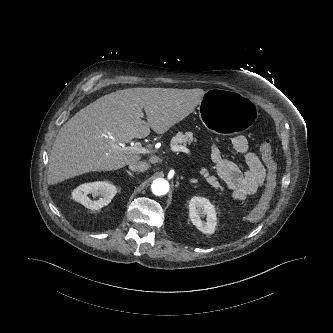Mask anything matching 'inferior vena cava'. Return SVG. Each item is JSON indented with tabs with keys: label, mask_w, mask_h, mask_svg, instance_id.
<instances>
[{
	"label": "inferior vena cava",
	"mask_w": 333,
	"mask_h": 333,
	"mask_svg": "<svg viewBox=\"0 0 333 333\" xmlns=\"http://www.w3.org/2000/svg\"><path fill=\"white\" fill-rule=\"evenodd\" d=\"M149 164L144 161H134L129 164V169L131 171L144 172L148 170Z\"/></svg>",
	"instance_id": "obj_1"
}]
</instances>
